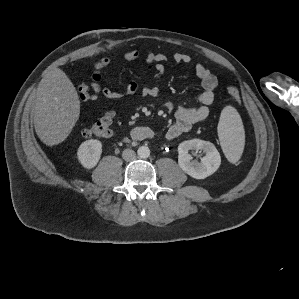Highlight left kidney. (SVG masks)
<instances>
[{
    "label": "left kidney",
    "mask_w": 299,
    "mask_h": 299,
    "mask_svg": "<svg viewBox=\"0 0 299 299\" xmlns=\"http://www.w3.org/2000/svg\"><path fill=\"white\" fill-rule=\"evenodd\" d=\"M190 150H202L205 156L201 162H191ZM178 164L180 168L195 179H204L217 171L221 164V157L213 143L192 139L179 144L178 146Z\"/></svg>",
    "instance_id": "5707ae66"
}]
</instances>
